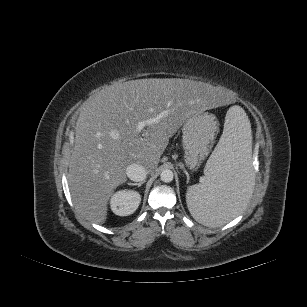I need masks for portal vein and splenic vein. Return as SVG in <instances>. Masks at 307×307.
I'll list each match as a JSON object with an SVG mask.
<instances>
[{"label": "portal vein and splenic vein", "instance_id": "1", "mask_svg": "<svg viewBox=\"0 0 307 307\" xmlns=\"http://www.w3.org/2000/svg\"><path fill=\"white\" fill-rule=\"evenodd\" d=\"M152 122H153L152 119H149L147 121H140V122H138L137 131L141 132L147 124H151Z\"/></svg>", "mask_w": 307, "mask_h": 307}]
</instances>
